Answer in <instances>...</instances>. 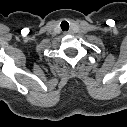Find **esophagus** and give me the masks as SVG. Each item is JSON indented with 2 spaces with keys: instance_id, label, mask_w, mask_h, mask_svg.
Returning a JSON list of instances; mask_svg holds the SVG:
<instances>
[{
  "instance_id": "obj_1",
  "label": "esophagus",
  "mask_w": 127,
  "mask_h": 127,
  "mask_svg": "<svg viewBox=\"0 0 127 127\" xmlns=\"http://www.w3.org/2000/svg\"><path fill=\"white\" fill-rule=\"evenodd\" d=\"M64 34H65V35H70V34H73V31H72V30L65 31Z\"/></svg>"
}]
</instances>
